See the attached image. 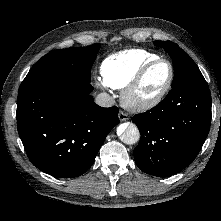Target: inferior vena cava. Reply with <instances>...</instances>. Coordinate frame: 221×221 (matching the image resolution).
Instances as JSON below:
<instances>
[{
  "label": "inferior vena cava",
  "instance_id": "obj_1",
  "mask_svg": "<svg viewBox=\"0 0 221 221\" xmlns=\"http://www.w3.org/2000/svg\"><path fill=\"white\" fill-rule=\"evenodd\" d=\"M95 102L101 107H112L115 103L114 99L107 93L98 94Z\"/></svg>",
  "mask_w": 221,
  "mask_h": 221
}]
</instances>
